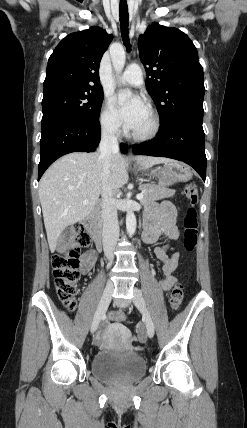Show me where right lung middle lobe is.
<instances>
[{
	"mask_svg": "<svg viewBox=\"0 0 247 428\" xmlns=\"http://www.w3.org/2000/svg\"><path fill=\"white\" fill-rule=\"evenodd\" d=\"M103 91L93 87H60L44 92L43 118L64 117L86 123L99 121Z\"/></svg>",
	"mask_w": 247,
	"mask_h": 428,
	"instance_id": "dd1d6c3e",
	"label": "right lung middle lobe"
}]
</instances>
